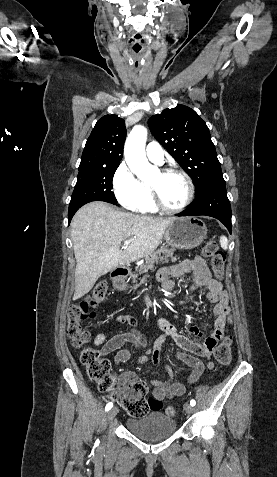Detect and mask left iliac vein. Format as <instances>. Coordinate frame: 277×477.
<instances>
[{
  "label": "left iliac vein",
  "instance_id": "4c4485c4",
  "mask_svg": "<svg viewBox=\"0 0 277 477\" xmlns=\"http://www.w3.org/2000/svg\"><path fill=\"white\" fill-rule=\"evenodd\" d=\"M184 411L187 413V414H191L193 412V406H191L190 404L188 403H185L184 404Z\"/></svg>",
  "mask_w": 277,
  "mask_h": 477
}]
</instances>
